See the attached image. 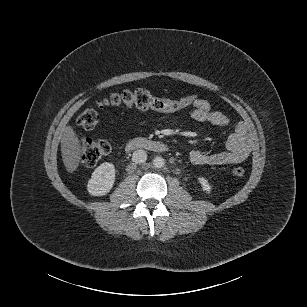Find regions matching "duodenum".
Returning a JSON list of instances; mask_svg holds the SVG:
<instances>
[{
  "mask_svg": "<svg viewBox=\"0 0 307 307\" xmlns=\"http://www.w3.org/2000/svg\"><path fill=\"white\" fill-rule=\"evenodd\" d=\"M137 148H143L158 153H163L168 151V146L166 144L145 138L132 139L126 145L127 150H133Z\"/></svg>",
  "mask_w": 307,
  "mask_h": 307,
  "instance_id": "1",
  "label": "duodenum"
}]
</instances>
